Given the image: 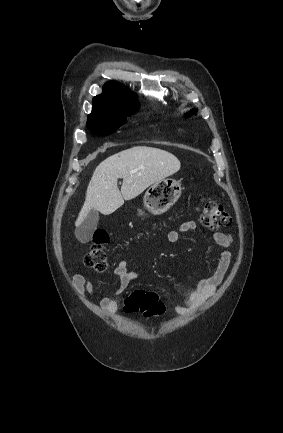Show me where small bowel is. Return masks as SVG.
I'll list each match as a JSON object with an SVG mask.
<instances>
[{
	"instance_id": "1",
	"label": "small bowel",
	"mask_w": 283,
	"mask_h": 433,
	"mask_svg": "<svg viewBox=\"0 0 283 433\" xmlns=\"http://www.w3.org/2000/svg\"><path fill=\"white\" fill-rule=\"evenodd\" d=\"M194 229H196V223L186 221L178 229L170 231L167 239L171 243H176L181 239L182 234ZM212 239L221 248L217 266L211 274L197 282L184 303L174 305V311L179 315H187L198 309L207 298L216 292L229 272L232 257L230 252L233 243L232 236L228 233L214 232ZM114 274L120 280V287L116 295H121L137 277L136 272L128 268V262L125 260L118 262ZM73 284L82 298H86L93 293L91 281L85 275H75ZM100 307L105 311L115 312L118 309V303L114 298L106 296L100 301Z\"/></svg>"
}]
</instances>
